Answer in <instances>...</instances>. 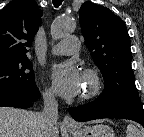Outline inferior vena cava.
I'll return each mask as SVG.
<instances>
[{
    "mask_svg": "<svg viewBox=\"0 0 144 137\" xmlns=\"http://www.w3.org/2000/svg\"><path fill=\"white\" fill-rule=\"evenodd\" d=\"M44 109L41 113V137H53L54 131L57 129L58 119V102L54 93L47 92L43 94Z\"/></svg>",
    "mask_w": 144,
    "mask_h": 137,
    "instance_id": "602c4592",
    "label": "inferior vena cava"
}]
</instances>
